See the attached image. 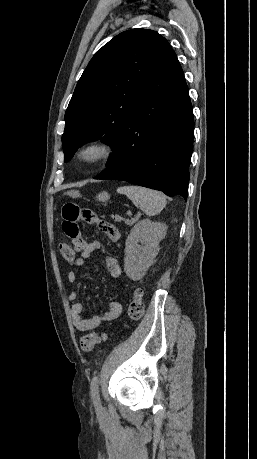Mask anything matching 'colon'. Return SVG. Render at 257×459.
I'll use <instances>...</instances> for the list:
<instances>
[{
    "mask_svg": "<svg viewBox=\"0 0 257 459\" xmlns=\"http://www.w3.org/2000/svg\"><path fill=\"white\" fill-rule=\"evenodd\" d=\"M63 226V224H62ZM60 254L66 262L75 260L77 251H72L70 242H62L59 246ZM143 293L136 290L128 306V318L130 321L140 319L144 313V304L142 299ZM107 335L105 333L91 332L81 337L80 348L83 352H91L96 345L105 341Z\"/></svg>",
    "mask_w": 257,
    "mask_h": 459,
    "instance_id": "5ec220e1",
    "label": "colon"
}]
</instances>
